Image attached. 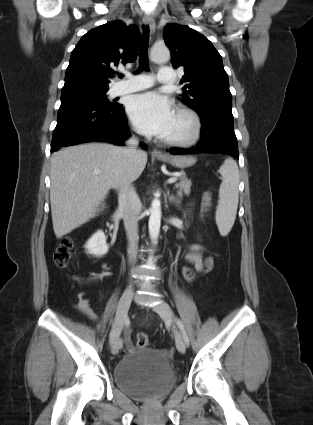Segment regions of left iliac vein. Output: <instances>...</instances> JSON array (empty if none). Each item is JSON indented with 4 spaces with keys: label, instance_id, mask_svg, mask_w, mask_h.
I'll list each match as a JSON object with an SVG mask.
<instances>
[{
    "label": "left iliac vein",
    "instance_id": "1",
    "mask_svg": "<svg viewBox=\"0 0 313 425\" xmlns=\"http://www.w3.org/2000/svg\"><path fill=\"white\" fill-rule=\"evenodd\" d=\"M153 310L158 313L166 323H174L172 310L166 302L160 301L157 305L153 306ZM175 341L178 351L184 353L186 351V344L177 329H175Z\"/></svg>",
    "mask_w": 313,
    "mask_h": 425
}]
</instances>
